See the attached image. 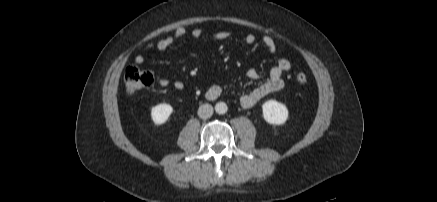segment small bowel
<instances>
[{"label": "small bowel", "mask_w": 437, "mask_h": 202, "mask_svg": "<svg viewBox=\"0 0 437 202\" xmlns=\"http://www.w3.org/2000/svg\"><path fill=\"white\" fill-rule=\"evenodd\" d=\"M186 34V30L184 27H176L172 33L160 40L153 41L148 43L144 47V52L149 51L151 49H156L158 51H164L172 46L177 40L184 37ZM232 35L231 32L228 31H220L211 35H206L202 29L196 28L192 31V37L197 40L202 39H211V40H225L230 38ZM256 41V37L253 34H248L245 36V42L247 44H253ZM262 45L270 54H275L277 50L276 43L274 39L268 35H265L261 39ZM145 61V57L142 54H139L135 57V63L143 64ZM291 68V63L288 59L281 58L277 61V63L272 67L269 72L268 78L261 83L259 86L254 88L252 91L245 93L240 98V103L244 108H250L257 104L262 98L267 96L270 93L281 90L284 87L283 74ZM247 76L251 80H257L259 78V73L256 69H250L247 72ZM162 87H173L177 90L183 89V83L180 81H170L167 79H160L159 81ZM221 93V88L218 85L211 86L207 95L209 98L214 99L218 97Z\"/></svg>", "instance_id": "c3829d8e"}]
</instances>
